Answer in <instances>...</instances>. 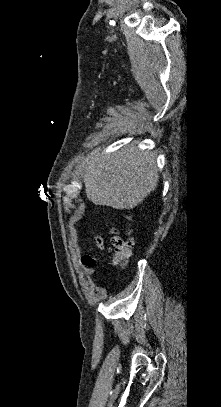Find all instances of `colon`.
Instances as JSON below:
<instances>
[{"mask_svg": "<svg viewBox=\"0 0 221 407\" xmlns=\"http://www.w3.org/2000/svg\"><path fill=\"white\" fill-rule=\"evenodd\" d=\"M112 245L114 247L115 263H121L129 257L132 247V242L130 240L124 239L115 233L112 238Z\"/></svg>", "mask_w": 221, "mask_h": 407, "instance_id": "obj_1", "label": "colon"}]
</instances>
